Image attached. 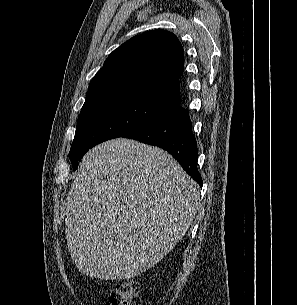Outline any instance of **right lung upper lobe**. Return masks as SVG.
<instances>
[{
	"mask_svg": "<svg viewBox=\"0 0 297 305\" xmlns=\"http://www.w3.org/2000/svg\"><path fill=\"white\" fill-rule=\"evenodd\" d=\"M183 47L173 33L158 29L135 36L114 50L89 84L83 107L121 96L181 103Z\"/></svg>",
	"mask_w": 297,
	"mask_h": 305,
	"instance_id": "cb5924a9",
	"label": "right lung upper lobe"
}]
</instances>
